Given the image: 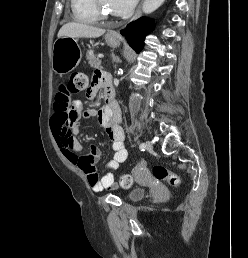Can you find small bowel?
Instances as JSON below:
<instances>
[{
    "mask_svg": "<svg viewBox=\"0 0 248 258\" xmlns=\"http://www.w3.org/2000/svg\"><path fill=\"white\" fill-rule=\"evenodd\" d=\"M103 76L87 92L89 98H94L97 89L103 84ZM72 104V107H71ZM96 117L102 127L106 130L114 151L113 159L105 164V174L99 178L94 164L101 157V149L98 145L92 144L90 152L84 153L81 143L77 140L80 132L79 123L82 118ZM51 128L56 137L57 143L65 157L81 170L87 178L90 188L94 192H102L108 189H115L114 171L125 162L128 152L124 144V131L120 125V108L114 102L112 109L106 107L101 110H84L81 100L71 102L70 93L65 86L58 88L53 103V115L51 118Z\"/></svg>",
    "mask_w": 248,
    "mask_h": 258,
    "instance_id": "obj_1",
    "label": "small bowel"
}]
</instances>
